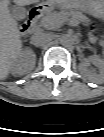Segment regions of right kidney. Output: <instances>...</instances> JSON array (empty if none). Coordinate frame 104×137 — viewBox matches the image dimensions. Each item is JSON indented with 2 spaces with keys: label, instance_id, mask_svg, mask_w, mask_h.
Listing matches in <instances>:
<instances>
[{
  "label": "right kidney",
  "instance_id": "ca27d5eb",
  "mask_svg": "<svg viewBox=\"0 0 104 137\" xmlns=\"http://www.w3.org/2000/svg\"><path fill=\"white\" fill-rule=\"evenodd\" d=\"M36 55L32 50H23L19 53L12 63V69L22 75L25 72L33 69L35 66Z\"/></svg>",
  "mask_w": 104,
  "mask_h": 137
}]
</instances>
